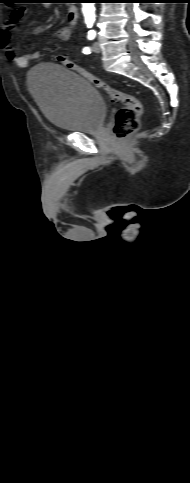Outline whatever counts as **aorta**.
Listing matches in <instances>:
<instances>
[{
  "mask_svg": "<svg viewBox=\"0 0 190 483\" xmlns=\"http://www.w3.org/2000/svg\"><path fill=\"white\" fill-rule=\"evenodd\" d=\"M82 12L86 21H93L95 19L94 3H82Z\"/></svg>",
  "mask_w": 190,
  "mask_h": 483,
  "instance_id": "1",
  "label": "aorta"
}]
</instances>
